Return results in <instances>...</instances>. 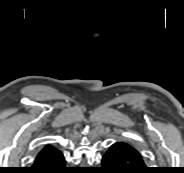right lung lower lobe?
Returning a JSON list of instances; mask_svg holds the SVG:
<instances>
[{"label": "right lung lower lobe", "instance_id": "right-lung-lower-lobe-1", "mask_svg": "<svg viewBox=\"0 0 184 173\" xmlns=\"http://www.w3.org/2000/svg\"><path fill=\"white\" fill-rule=\"evenodd\" d=\"M63 154L55 147L40 151L28 173H70Z\"/></svg>", "mask_w": 184, "mask_h": 173}]
</instances>
